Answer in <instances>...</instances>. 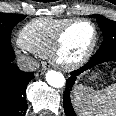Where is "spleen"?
I'll list each match as a JSON object with an SVG mask.
<instances>
[{
	"instance_id": "obj_1",
	"label": "spleen",
	"mask_w": 116,
	"mask_h": 116,
	"mask_svg": "<svg viewBox=\"0 0 116 116\" xmlns=\"http://www.w3.org/2000/svg\"><path fill=\"white\" fill-rule=\"evenodd\" d=\"M73 95L80 116H116V83L98 91L77 86Z\"/></svg>"
}]
</instances>
